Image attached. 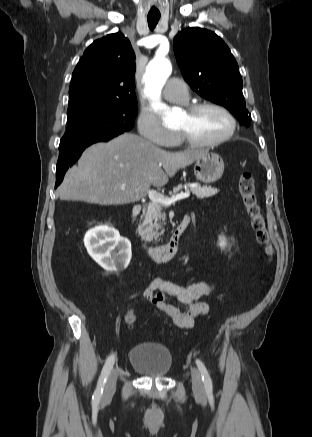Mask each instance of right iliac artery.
Returning <instances> with one entry per match:
<instances>
[{
    "label": "right iliac artery",
    "mask_w": 312,
    "mask_h": 437,
    "mask_svg": "<svg viewBox=\"0 0 312 437\" xmlns=\"http://www.w3.org/2000/svg\"><path fill=\"white\" fill-rule=\"evenodd\" d=\"M114 363H115V355L112 354L108 357V359L104 364V367L102 369L101 375L98 380L97 388L92 396V400L94 404H98L100 402L106 380L108 378L111 369L113 368Z\"/></svg>",
    "instance_id": "1"
}]
</instances>
